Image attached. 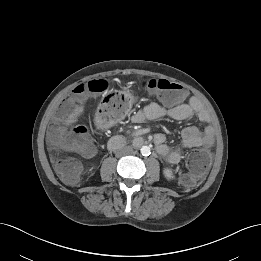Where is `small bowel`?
Returning a JSON list of instances; mask_svg holds the SVG:
<instances>
[{"instance_id":"obj_1","label":"small bowel","mask_w":261,"mask_h":261,"mask_svg":"<svg viewBox=\"0 0 261 261\" xmlns=\"http://www.w3.org/2000/svg\"><path fill=\"white\" fill-rule=\"evenodd\" d=\"M193 116H198L200 120L207 121V115L201 101L196 97L190 98L187 103L173 107H164L155 102L149 103L142 110L133 114L132 121L135 123H143L146 120H159L163 118L183 121ZM165 141L166 138L164 134L157 133L154 135V142L159 155L168 163L177 164L182 158L183 150L211 147L214 141V132L209 125L204 129L189 126L182 130L181 141L177 147L171 148Z\"/></svg>"}]
</instances>
